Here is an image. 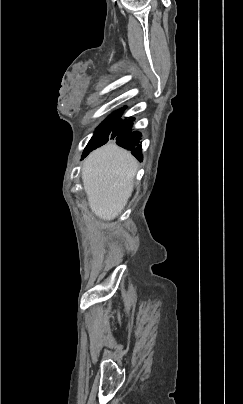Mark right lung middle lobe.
<instances>
[{
  "instance_id": "1",
  "label": "right lung middle lobe",
  "mask_w": 243,
  "mask_h": 404,
  "mask_svg": "<svg viewBox=\"0 0 243 404\" xmlns=\"http://www.w3.org/2000/svg\"><path fill=\"white\" fill-rule=\"evenodd\" d=\"M121 113H122L121 111H116L101 123V125L96 129L88 145L86 146L83 152L82 159L97 147H100L108 142V137L116 121L120 118Z\"/></svg>"
}]
</instances>
